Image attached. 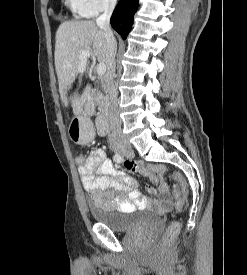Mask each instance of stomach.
<instances>
[{
	"label": "stomach",
	"instance_id": "obj_1",
	"mask_svg": "<svg viewBox=\"0 0 247 275\" xmlns=\"http://www.w3.org/2000/svg\"><path fill=\"white\" fill-rule=\"evenodd\" d=\"M69 135L71 140L77 144H86L94 137L91 125L82 122L79 118L71 122Z\"/></svg>",
	"mask_w": 247,
	"mask_h": 275
}]
</instances>
